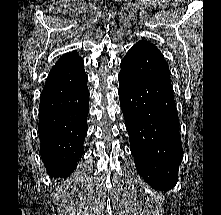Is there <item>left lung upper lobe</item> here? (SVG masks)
<instances>
[{"instance_id":"5c2ea615","label":"left lung upper lobe","mask_w":221,"mask_h":215,"mask_svg":"<svg viewBox=\"0 0 221 215\" xmlns=\"http://www.w3.org/2000/svg\"><path fill=\"white\" fill-rule=\"evenodd\" d=\"M138 43L151 46V47H153L155 50H157L160 53V51L157 49V47L155 45H153V44H151V43H149L147 41L142 40V41H139Z\"/></svg>"}]
</instances>
